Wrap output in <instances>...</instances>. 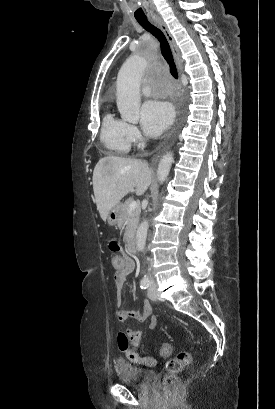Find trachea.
<instances>
[{"mask_svg":"<svg viewBox=\"0 0 275 409\" xmlns=\"http://www.w3.org/2000/svg\"><path fill=\"white\" fill-rule=\"evenodd\" d=\"M137 22L141 25V27L147 30V32H150L152 35H154V37H156L159 40L161 52L170 67V73L171 75H173L174 78L178 79V73L175 62L173 60L171 48L162 30L157 28V26L155 27V25L150 23L148 19L137 20Z\"/></svg>","mask_w":275,"mask_h":409,"instance_id":"1","label":"trachea"}]
</instances>
